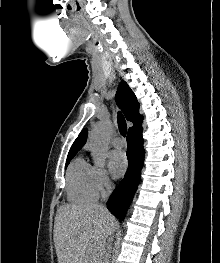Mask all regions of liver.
<instances>
[{"label": "liver", "instance_id": "liver-1", "mask_svg": "<svg viewBox=\"0 0 220 263\" xmlns=\"http://www.w3.org/2000/svg\"><path fill=\"white\" fill-rule=\"evenodd\" d=\"M117 225L98 204L60 206L53 236L58 263H93L94 252L104 254L106 240Z\"/></svg>", "mask_w": 220, "mask_h": 263}]
</instances>
